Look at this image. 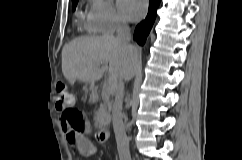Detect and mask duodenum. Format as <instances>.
Wrapping results in <instances>:
<instances>
[{
  "label": "duodenum",
  "mask_w": 242,
  "mask_h": 160,
  "mask_svg": "<svg viewBox=\"0 0 242 160\" xmlns=\"http://www.w3.org/2000/svg\"><path fill=\"white\" fill-rule=\"evenodd\" d=\"M91 96L92 97L97 96V90L95 88L91 90ZM109 136H110L109 130L106 128H102L97 131V140L101 143H106L109 140Z\"/></svg>",
  "instance_id": "1"
}]
</instances>
